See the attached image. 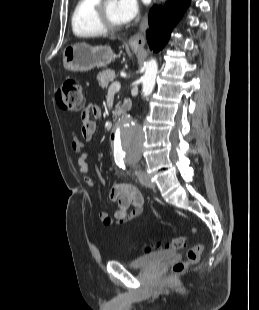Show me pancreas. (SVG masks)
Here are the masks:
<instances>
[{
    "instance_id": "cf45deb5",
    "label": "pancreas",
    "mask_w": 259,
    "mask_h": 310,
    "mask_svg": "<svg viewBox=\"0 0 259 310\" xmlns=\"http://www.w3.org/2000/svg\"><path fill=\"white\" fill-rule=\"evenodd\" d=\"M115 78V73L113 70H106L98 74L97 80L99 85L105 89L108 87L109 83L112 82Z\"/></svg>"
}]
</instances>
